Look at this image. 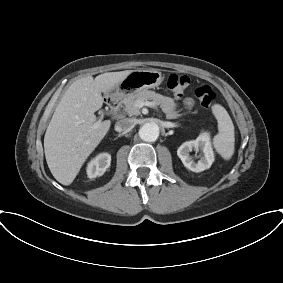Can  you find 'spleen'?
Segmentation results:
<instances>
[{
  "label": "spleen",
  "mask_w": 283,
  "mask_h": 283,
  "mask_svg": "<svg viewBox=\"0 0 283 283\" xmlns=\"http://www.w3.org/2000/svg\"><path fill=\"white\" fill-rule=\"evenodd\" d=\"M212 112L218 122V134L213 138V145L218 154L225 160L234 154L235 132L233 122L226 109L219 105L212 106Z\"/></svg>",
  "instance_id": "spleen-1"
}]
</instances>
